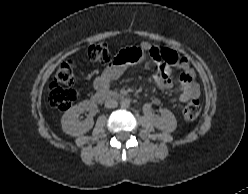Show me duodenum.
<instances>
[{"instance_id": "duodenum-1", "label": "duodenum", "mask_w": 248, "mask_h": 194, "mask_svg": "<svg viewBox=\"0 0 248 194\" xmlns=\"http://www.w3.org/2000/svg\"><path fill=\"white\" fill-rule=\"evenodd\" d=\"M126 98V94L118 93V92H107V91H98L93 94V101L96 103H103L108 100L113 99H124Z\"/></svg>"}]
</instances>
